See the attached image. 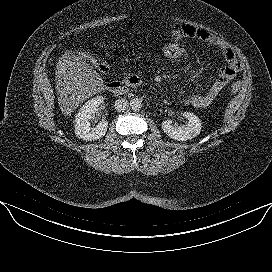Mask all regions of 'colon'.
Returning a JSON list of instances; mask_svg holds the SVG:
<instances>
[{
	"label": "colon",
	"instance_id": "5ec220e1",
	"mask_svg": "<svg viewBox=\"0 0 272 272\" xmlns=\"http://www.w3.org/2000/svg\"><path fill=\"white\" fill-rule=\"evenodd\" d=\"M161 54L170 61H179L187 57L188 49L178 40H171L169 42H165L160 47ZM77 55L83 59L89 60L96 65V67L101 71H107L108 65L101 61L94 60L90 55L85 53H77ZM241 88V84L239 82H235L230 86V93H237Z\"/></svg>",
	"mask_w": 272,
	"mask_h": 272
}]
</instances>
